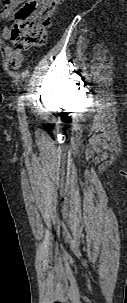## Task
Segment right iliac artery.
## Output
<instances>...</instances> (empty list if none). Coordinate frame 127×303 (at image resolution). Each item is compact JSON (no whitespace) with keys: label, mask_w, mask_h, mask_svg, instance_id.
Wrapping results in <instances>:
<instances>
[{"label":"right iliac artery","mask_w":127,"mask_h":303,"mask_svg":"<svg viewBox=\"0 0 127 303\" xmlns=\"http://www.w3.org/2000/svg\"><path fill=\"white\" fill-rule=\"evenodd\" d=\"M24 99H25V97L21 96L18 101V113H19V119L21 122H24L26 119L25 108H24Z\"/></svg>","instance_id":"right-iliac-artery-1"}]
</instances>
